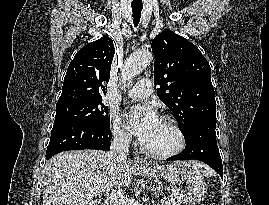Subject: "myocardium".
<instances>
[{
	"instance_id": "f54148a6",
	"label": "myocardium",
	"mask_w": 269,
	"mask_h": 205,
	"mask_svg": "<svg viewBox=\"0 0 269 205\" xmlns=\"http://www.w3.org/2000/svg\"><path fill=\"white\" fill-rule=\"evenodd\" d=\"M161 120L166 121L171 126L172 130L174 131L177 137L176 147L171 150L164 151V152L151 150L146 145H143L142 149L147 155L151 157L165 159V158L173 157L181 153L184 150L186 146V137L181 126L179 125V123L177 122L175 118H173L170 115H162Z\"/></svg>"
}]
</instances>
